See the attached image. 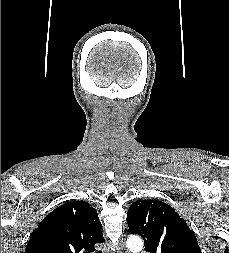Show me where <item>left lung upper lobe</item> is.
Returning <instances> with one entry per match:
<instances>
[{"mask_svg":"<svg viewBox=\"0 0 229 253\" xmlns=\"http://www.w3.org/2000/svg\"><path fill=\"white\" fill-rule=\"evenodd\" d=\"M132 234L144 239L150 253H201L194 232L168 204L158 200H137L127 213Z\"/></svg>","mask_w":229,"mask_h":253,"instance_id":"left-lung-upper-lobe-1","label":"left lung upper lobe"}]
</instances>
